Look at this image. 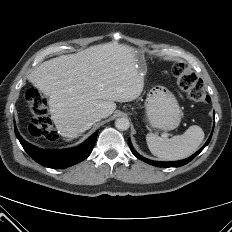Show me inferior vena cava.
Here are the masks:
<instances>
[{"instance_id":"obj_1","label":"inferior vena cava","mask_w":232,"mask_h":232,"mask_svg":"<svg viewBox=\"0 0 232 232\" xmlns=\"http://www.w3.org/2000/svg\"><path fill=\"white\" fill-rule=\"evenodd\" d=\"M101 118H102L101 114H97V113L91 114L88 118L89 121L85 126V130L89 129L93 125V123L99 121Z\"/></svg>"}]
</instances>
